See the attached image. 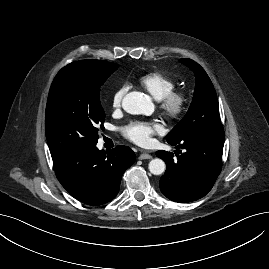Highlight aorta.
Masks as SVG:
<instances>
[{
    "instance_id": "1",
    "label": "aorta",
    "mask_w": 269,
    "mask_h": 269,
    "mask_svg": "<svg viewBox=\"0 0 269 269\" xmlns=\"http://www.w3.org/2000/svg\"><path fill=\"white\" fill-rule=\"evenodd\" d=\"M122 107L127 113L133 115H150L153 111L151 98L137 91L130 92L123 98ZM148 168L153 175H161L166 169V164L163 160L155 158L149 162Z\"/></svg>"
}]
</instances>
